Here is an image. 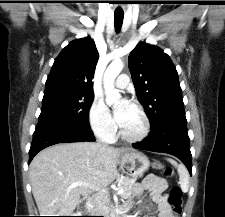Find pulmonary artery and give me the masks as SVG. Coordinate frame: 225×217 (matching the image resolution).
<instances>
[{
    "label": "pulmonary artery",
    "mask_w": 225,
    "mask_h": 217,
    "mask_svg": "<svg viewBox=\"0 0 225 217\" xmlns=\"http://www.w3.org/2000/svg\"><path fill=\"white\" fill-rule=\"evenodd\" d=\"M129 77L126 74H121L115 81V85L118 88L124 89L129 85Z\"/></svg>",
    "instance_id": "1"
}]
</instances>
